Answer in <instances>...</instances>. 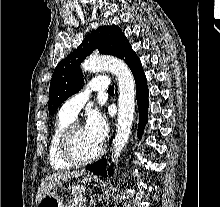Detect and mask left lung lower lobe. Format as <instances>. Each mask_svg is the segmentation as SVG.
<instances>
[{
    "instance_id": "0a47b994",
    "label": "left lung lower lobe",
    "mask_w": 220,
    "mask_h": 207,
    "mask_svg": "<svg viewBox=\"0 0 220 207\" xmlns=\"http://www.w3.org/2000/svg\"><path fill=\"white\" fill-rule=\"evenodd\" d=\"M125 62L130 67L134 75L135 82H136L137 103H138V108H139V113H140L138 136L140 137L141 134L143 133L144 126L147 122L148 87H147L146 77L143 72L140 60L133 50H131L129 54L125 57ZM105 166H106V159H103L90 165L89 167H87V169L97 175H102L106 177L107 172L105 170ZM111 169H112L111 167H109L108 169L109 176H111L113 173Z\"/></svg>"
}]
</instances>
